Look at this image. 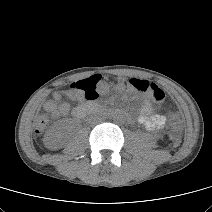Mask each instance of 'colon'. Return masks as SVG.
<instances>
[{"label": "colon", "instance_id": "5ec220e1", "mask_svg": "<svg viewBox=\"0 0 212 212\" xmlns=\"http://www.w3.org/2000/svg\"><path fill=\"white\" fill-rule=\"evenodd\" d=\"M70 89L77 94L83 95L86 99L93 100L99 96L100 93L109 90H136L138 92L146 93L156 102H163L165 100V92L155 83H151L144 79H121L117 81H109L108 84L102 79L100 75H92L88 78L73 82ZM179 117L174 115L173 126L177 130L179 127ZM47 125V118L40 116L36 122V132L41 133Z\"/></svg>", "mask_w": 212, "mask_h": 212}]
</instances>
